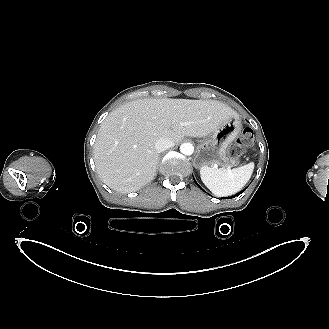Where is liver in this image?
I'll return each mask as SVG.
<instances>
[{"instance_id":"6515ba94","label":"liver","mask_w":329,"mask_h":329,"mask_svg":"<svg viewBox=\"0 0 329 329\" xmlns=\"http://www.w3.org/2000/svg\"><path fill=\"white\" fill-rule=\"evenodd\" d=\"M236 111L217 100L139 99L110 112L94 145L100 179L111 189L128 193L153 180L159 154L158 139L174 143L184 136L204 137Z\"/></svg>"}]
</instances>
